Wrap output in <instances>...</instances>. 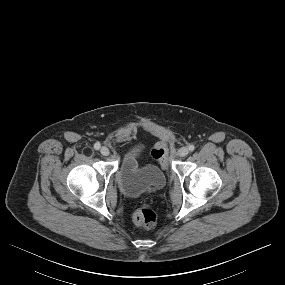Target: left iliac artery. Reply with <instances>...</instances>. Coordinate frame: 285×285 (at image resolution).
<instances>
[{
	"label": "left iliac artery",
	"mask_w": 285,
	"mask_h": 285,
	"mask_svg": "<svg viewBox=\"0 0 285 285\" xmlns=\"http://www.w3.org/2000/svg\"><path fill=\"white\" fill-rule=\"evenodd\" d=\"M188 149L192 152L195 150V146L191 144V145H189Z\"/></svg>",
	"instance_id": "left-iliac-artery-1"
}]
</instances>
